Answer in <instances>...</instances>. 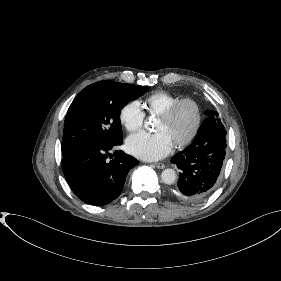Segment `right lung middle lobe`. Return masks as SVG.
Masks as SVG:
<instances>
[{"instance_id":"1","label":"right lung middle lobe","mask_w":281,"mask_h":281,"mask_svg":"<svg viewBox=\"0 0 281 281\" xmlns=\"http://www.w3.org/2000/svg\"><path fill=\"white\" fill-rule=\"evenodd\" d=\"M148 87L100 81L84 88L65 117L62 155L84 145H105L122 140L120 111Z\"/></svg>"}]
</instances>
